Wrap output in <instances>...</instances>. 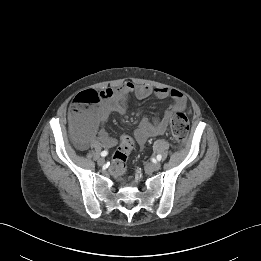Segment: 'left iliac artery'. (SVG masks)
Here are the masks:
<instances>
[{
    "label": "left iliac artery",
    "instance_id": "obj_1",
    "mask_svg": "<svg viewBox=\"0 0 261 261\" xmlns=\"http://www.w3.org/2000/svg\"><path fill=\"white\" fill-rule=\"evenodd\" d=\"M156 158L158 161H160L162 159V156L160 154H158Z\"/></svg>",
    "mask_w": 261,
    "mask_h": 261
}]
</instances>
